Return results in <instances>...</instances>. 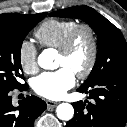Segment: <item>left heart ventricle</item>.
I'll return each instance as SVG.
<instances>
[{
  "instance_id": "b2bd125f",
  "label": "left heart ventricle",
  "mask_w": 127,
  "mask_h": 127,
  "mask_svg": "<svg viewBox=\"0 0 127 127\" xmlns=\"http://www.w3.org/2000/svg\"><path fill=\"white\" fill-rule=\"evenodd\" d=\"M90 54V42L86 34H82L74 44L68 56H57V68L67 67L77 73L83 70L88 62Z\"/></svg>"
}]
</instances>
